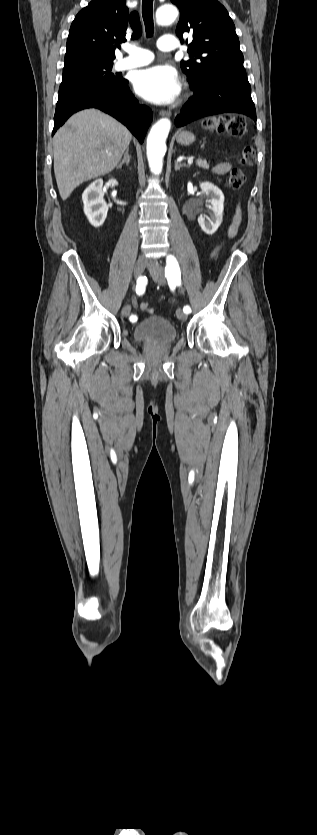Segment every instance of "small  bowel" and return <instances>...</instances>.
<instances>
[{
    "instance_id": "obj_1",
    "label": "small bowel",
    "mask_w": 317,
    "mask_h": 835,
    "mask_svg": "<svg viewBox=\"0 0 317 835\" xmlns=\"http://www.w3.org/2000/svg\"><path fill=\"white\" fill-rule=\"evenodd\" d=\"M230 168H231V164H230V163H228V162H222V163H220V164L216 165V166L213 168V171H214L216 174H218V175H223V174L228 173V172H229V170H230ZM239 222H240V214H239V213H236V215H235V217H234V220H233L232 224L230 225V227H229V229H228V235H229L230 237H233V236L236 234L237 229H238ZM216 255H217V251H213V252L211 253L210 257H211V258H215V256H216ZM135 317H136V316H135Z\"/></svg>"
}]
</instances>
